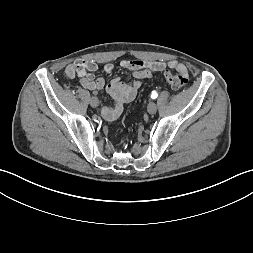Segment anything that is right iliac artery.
I'll use <instances>...</instances> for the list:
<instances>
[{"mask_svg": "<svg viewBox=\"0 0 253 253\" xmlns=\"http://www.w3.org/2000/svg\"><path fill=\"white\" fill-rule=\"evenodd\" d=\"M98 93L96 91L93 92V95L96 96Z\"/></svg>", "mask_w": 253, "mask_h": 253, "instance_id": "1", "label": "right iliac artery"}]
</instances>
